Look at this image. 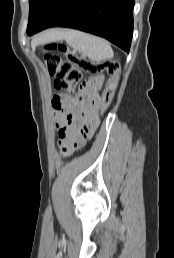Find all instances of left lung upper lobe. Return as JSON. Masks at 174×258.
Masks as SVG:
<instances>
[{"label":"left lung upper lobe","mask_w":174,"mask_h":258,"mask_svg":"<svg viewBox=\"0 0 174 258\" xmlns=\"http://www.w3.org/2000/svg\"><path fill=\"white\" fill-rule=\"evenodd\" d=\"M58 0H29L27 34L33 33L45 19Z\"/></svg>","instance_id":"1"}]
</instances>
